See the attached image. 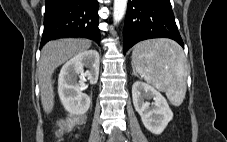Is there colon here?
<instances>
[{"label":"colon","instance_id":"colon-1","mask_svg":"<svg viewBox=\"0 0 227 142\" xmlns=\"http://www.w3.org/2000/svg\"><path fill=\"white\" fill-rule=\"evenodd\" d=\"M78 120L74 118L61 120L58 124L57 132L59 135H65L69 133L73 127L77 124Z\"/></svg>","mask_w":227,"mask_h":142}]
</instances>
